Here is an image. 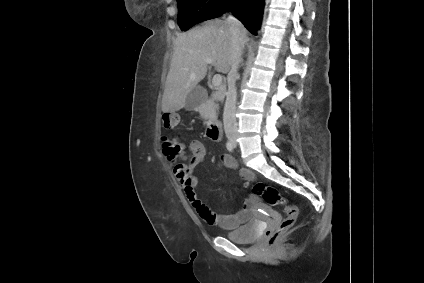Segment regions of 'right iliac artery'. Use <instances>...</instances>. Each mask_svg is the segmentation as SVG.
<instances>
[{"mask_svg": "<svg viewBox=\"0 0 424 283\" xmlns=\"http://www.w3.org/2000/svg\"><path fill=\"white\" fill-rule=\"evenodd\" d=\"M226 147H227V149L230 151V152H232L233 151V145H232V143L231 142H227L226 143Z\"/></svg>", "mask_w": 424, "mask_h": 283, "instance_id": "right-iliac-artery-1", "label": "right iliac artery"}]
</instances>
